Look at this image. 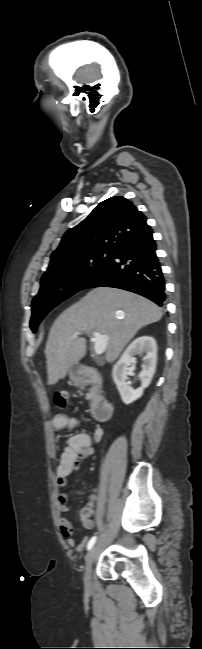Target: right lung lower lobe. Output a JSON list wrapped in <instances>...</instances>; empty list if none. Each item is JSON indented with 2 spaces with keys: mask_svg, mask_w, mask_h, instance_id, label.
<instances>
[{
  "mask_svg": "<svg viewBox=\"0 0 202 649\" xmlns=\"http://www.w3.org/2000/svg\"><path fill=\"white\" fill-rule=\"evenodd\" d=\"M152 229L123 242L111 260L83 287H115L140 294L159 306L166 297Z\"/></svg>",
  "mask_w": 202,
  "mask_h": 649,
  "instance_id": "right-lung-lower-lobe-1",
  "label": "right lung lower lobe"
}]
</instances>
